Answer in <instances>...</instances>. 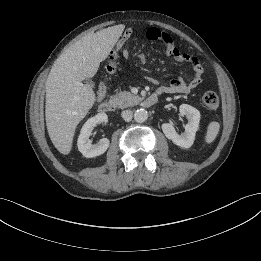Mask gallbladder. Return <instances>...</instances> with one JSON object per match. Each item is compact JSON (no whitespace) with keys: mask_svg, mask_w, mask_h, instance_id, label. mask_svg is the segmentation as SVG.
Instances as JSON below:
<instances>
[{"mask_svg":"<svg viewBox=\"0 0 261 261\" xmlns=\"http://www.w3.org/2000/svg\"><path fill=\"white\" fill-rule=\"evenodd\" d=\"M85 83H86L87 85H89V86H93V85H94L93 81L90 80V79L86 80Z\"/></svg>","mask_w":261,"mask_h":261,"instance_id":"gallbladder-1","label":"gallbladder"}]
</instances>
